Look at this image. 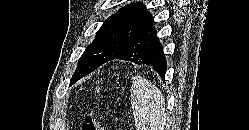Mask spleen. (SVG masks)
<instances>
[{
	"label": "spleen",
	"mask_w": 249,
	"mask_h": 130,
	"mask_svg": "<svg viewBox=\"0 0 249 130\" xmlns=\"http://www.w3.org/2000/svg\"><path fill=\"white\" fill-rule=\"evenodd\" d=\"M131 107L137 130H163L167 117L165 99L155 84L135 77L131 86Z\"/></svg>",
	"instance_id": "spleen-1"
}]
</instances>
